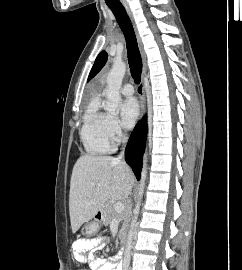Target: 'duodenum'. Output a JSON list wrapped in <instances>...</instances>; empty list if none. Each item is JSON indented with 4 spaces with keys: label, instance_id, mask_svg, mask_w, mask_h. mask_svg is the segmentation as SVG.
Here are the masks:
<instances>
[{
    "label": "duodenum",
    "instance_id": "410a0bca",
    "mask_svg": "<svg viewBox=\"0 0 242 270\" xmlns=\"http://www.w3.org/2000/svg\"><path fill=\"white\" fill-rule=\"evenodd\" d=\"M119 239L122 245L126 243V235L124 233L120 235Z\"/></svg>",
    "mask_w": 242,
    "mask_h": 270
}]
</instances>
